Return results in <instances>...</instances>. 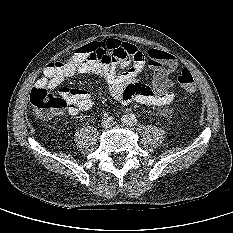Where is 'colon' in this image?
<instances>
[{
	"mask_svg": "<svg viewBox=\"0 0 233 233\" xmlns=\"http://www.w3.org/2000/svg\"><path fill=\"white\" fill-rule=\"evenodd\" d=\"M178 82L186 92L192 93L196 90L194 78L187 69L182 70ZM29 99L35 113L42 118L59 114L67 107V101L62 95L56 96L43 87L33 88Z\"/></svg>",
	"mask_w": 233,
	"mask_h": 233,
	"instance_id": "5ec220e1",
	"label": "colon"
}]
</instances>
